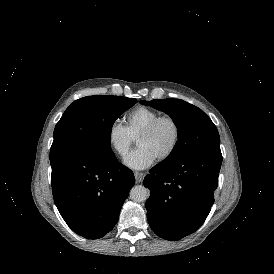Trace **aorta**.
Segmentation results:
<instances>
[{
    "instance_id": "aorta-1",
    "label": "aorta",
    "mask_w": 274,
    "mask_h": 274,
    "mask_svg": "<svg viewBox=\"0 0 274 274\" xmlns=\"http://www.w3.org/2000/svg\"><path fill=\"white\" fill-rule=\"evenodd\" d=\"M150 196V191L142 186L135 185L130 191V198L135 202H143Z\"/></svg>"
}]
</instances>
